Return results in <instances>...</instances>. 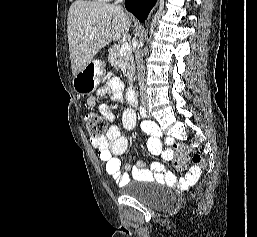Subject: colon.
Returning <instances> with one entry per match:
<instances>
[{"label": "colon", "instance_id": "5ec220e1", "mask_svg": "<svg viewBox=\"0 0 257 237\" xmlns=\"http://www.w3.org/2000/svg\"><path fill=\"white\" fill-rule=\"evenodd\" d=\"M86 127L89 133L97 138L102 137L107 129V122L104 118L94 112H88L84 117ZM191 152L189 146L185 144H177L174 146V153L176 156L175 165L177 168L182 169L186 165L185 158ZM194 162H200L201 158L199 155L193 156Z\"/></svg>", "mask_w": 257, "mask_h": 237}]
</instances>
